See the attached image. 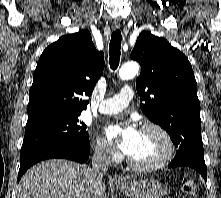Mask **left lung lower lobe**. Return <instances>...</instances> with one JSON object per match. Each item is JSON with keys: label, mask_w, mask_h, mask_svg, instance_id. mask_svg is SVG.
<instances>
[{"label": "left lung lower lobe", "mask_w": 221, "mask_h": 198, "mask_svg": "<svg viewBox=\"0 0 221 198\" xmlns=\"http://www.w3.org/2000/svg\"><path fill=\"white\" fill-rule=\"evenodd\" d=\"M179 166H188L198 171L203 178L207 179V169L204 161V153L196 150L187 152H178L171 163L169 168H175Z\"/></svg>", "instance_id": "obj_1"}]
</instances>
